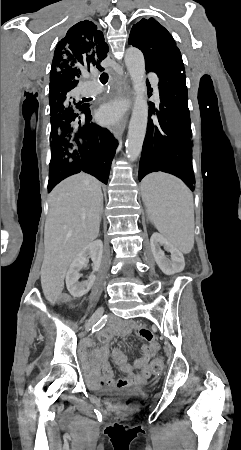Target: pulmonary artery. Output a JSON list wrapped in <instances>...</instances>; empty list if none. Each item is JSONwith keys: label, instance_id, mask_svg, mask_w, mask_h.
<instances>
[{"label": "pulmonary artery", "instance_id": "e3ab8cb5", "mask_svg": "<svg viewBox=\"0 0 241 450\" xmlns=\"http://www.w3.org/2000/svg\"><path fill=\"white\" fill-rule=\"evenodd\" d=\"M146 78L150 82H153L157 78V73L155 71H148L146 73ZM90 85L92 87H97L99 85V80L97 78H92L90 80ZM152 85L155 87L157 84L154 82ZM155 92L158 94L160 91L157 89Z\"/></svg>", "mask_w": 241, "mask_h": 450}]
</instances>
